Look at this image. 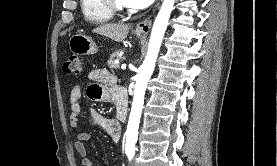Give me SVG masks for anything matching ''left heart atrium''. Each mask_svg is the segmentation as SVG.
<instances>
[{
	"label": "left heart atrium",
	"instance_id": "39dd6f15",
	"mask_svg": "<svg viewBox=\"0 0 277 166\" xmlns=\"http://www.w3.org/2000/svg\"><path fill=\"white\" fill-rule=\"evenodd\" d=\"M154 0H123V3L131 8L143 9L148 7Z\"/></svg>",
	"mask_w": 277,
	"mask_h": 166
}]
</instances>
